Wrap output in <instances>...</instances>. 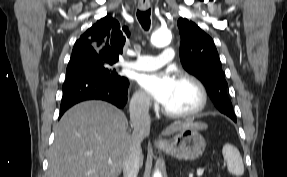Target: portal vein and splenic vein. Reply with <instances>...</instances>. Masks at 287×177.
<instances>
[{
  "mask_svg": "<svg viewBox=\"0 0 287 177\" xmlns=\"http://www.w3.org/2000/svg\"><path fill=\"white\" fill-rule=\"evenodd\" d=\"M108 163H112L111 160L108 161ZM203 172H204V169L203 168H200L198 171H197V176L200 177L203 175Z\"/></svg>",
  "mask_w": 287,
  "mask_h": 177,
  "instance_id": "portal-vein-and-splenic-vein-1",
  "label": "portal vein and splenic vein"
}]
</instances>
